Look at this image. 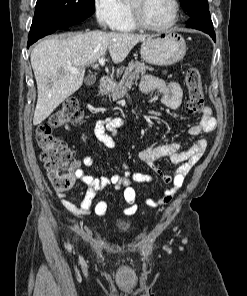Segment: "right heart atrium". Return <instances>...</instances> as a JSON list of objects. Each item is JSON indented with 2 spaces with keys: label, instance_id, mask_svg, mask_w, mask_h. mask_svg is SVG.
Listing matches in <instances>:
<instances>
[{
  "label": "right heart atrium",
  "instance_id": "d8ad5b80",
  "mask_svg": "<svg viewBox=\"0 0 247 296\" xmlns=\"http://www.w3.org/2000/svg\"><path fill=\"white\" fill-rule=\"evenodd\" d=\"M93 14L102 28H115L123 15L120 0H93Z\"/></svg>",
  "mask_w": 247,
  "mask_h": 296
}]
</instances>
